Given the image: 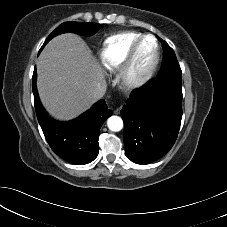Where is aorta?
<instances>
[{"label":"aorta","mask_w":227,"mask_h":227,"mask_svg":"<svg viewBox=\"0 0 227 227\" xmlns=\"http://www.w3.org/2000/svg\"><path fill=\"white\" fill-rule=\"evenodd\" d=\"M109 130L118 132L123 128V120L119 116H111L107 120Z\"/></svg>","instance_id":"obj_1"}]
</instances>
